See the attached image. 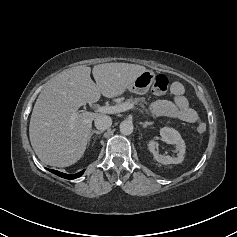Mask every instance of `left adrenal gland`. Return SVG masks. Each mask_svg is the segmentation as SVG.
Here are the masks:
<instances>
[{
  "mask_svg": "<svg viewBox=\"0 0 237 237\" xmlns=\"http://www.w3.org/2000/svg\"><path fill=\"white\" fill-rule=\"evenodd\" d=\"M143 128H146L149 125H152V122H145V123H141Z\"/></svg>",
  "mask_w": 237,
  "mask_h": 237,
  "instance_id": "obj_1",
  "label": "left adrenal gland"
}]
</instances>
